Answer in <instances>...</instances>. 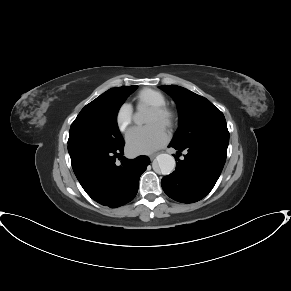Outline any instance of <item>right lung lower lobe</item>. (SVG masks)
Returning <instances> with one entry per match:
<instances>
[{"mask_svg": "<svg viewBox=\"0 0 291 291\" xmlns=\"http://www.w3.org/2000/svg\"><path fill=\"white\" fill-rule=\"evenodd\" d=\"M124 143L117 147L92 144L68 145L73 171L86 193L96 202L116 208L136 196L139 178L150 163L147 156L123 157ZM121 160V165L115 163Z\"/></svg>", "mask_w": 291, "mask_h": 291, "instance_id": "obj_1", "label": "right lung lower lobe"}]
</instances>
